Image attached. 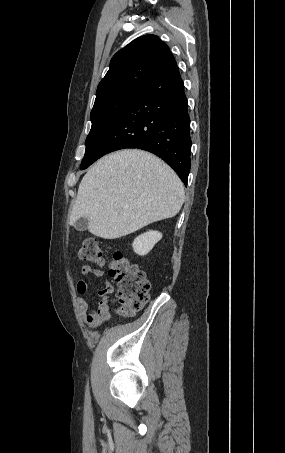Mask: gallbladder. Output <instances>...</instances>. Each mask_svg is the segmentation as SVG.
<instances>
[{"label":"gallbladder","instance_id":"gallbladder-1","mask_svg":"<svg viewBox=\"0 0 285 453\" xmlns=\"http://www.w3.org/2000/svg\"><path fill=\"white\" fill-rule=\"evenodd\" d=\"M88 219L86 217H80L75 223V229L78 231H85L88 226Z\"/></svg>","mask_w":285,"mask_h":453}]
</instances>
